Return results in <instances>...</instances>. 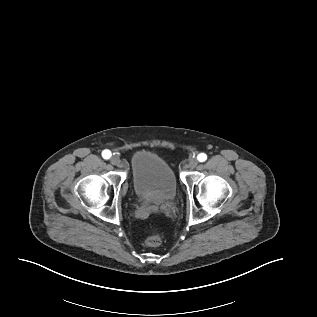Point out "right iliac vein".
<instances>
[{"instance_id":"63e3f726","label":"right iliac vein","mask_w":317,"mask_h":317,"mask_svg":"<svg viewBox=\"0 0 317 317\" xmlns=\"http://www.w3.org/2000/svg\"><path fill=\"white\" fill-rule=\"evenodd\" d=\"M110 162L114 166H119L120 165V159L117 156H112L110 159Z\"/></svg>"}]
</instances>
